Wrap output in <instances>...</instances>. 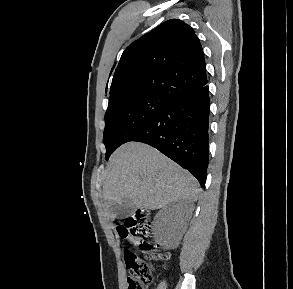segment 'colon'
Returning a JSON list of instances; mask_svg holds the SVG:
<instances>
[{
  "instance_id": "obj_1",
  "label": "colon",
  "mask_w": 293,
  "mask_h": 289,
  "mask_svg": "<svg viewBox=\"0 0 293 289\" xmlns=\"http://www.w3.org/2000/svg\"><path fill=\"white\" fill-rule=\"evenodd\" d=\"M119 236L134 243L148 259L165 262L169 254L161 251L150 240L152 221L145 211L133 213L117 226ZM125 262L129 271L127 289H146L154 279L155 267L146 260L137 257L132 251H125Z\"/></svg>"
}]
</instances>
